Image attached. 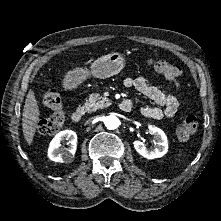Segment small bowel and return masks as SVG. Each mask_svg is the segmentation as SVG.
<instances>
[{
	"mask_svg": "<svg viewBox=\"0 0 221 221\" xmlns=\"http://www.w3.org/2000/svg\"><path fill=\"white\" fill-rule=\"evenodd\" d=\"M123 84L127 88H134L141 92L159 105V107L142 106L140 112L145 117L154 120L173 118L181 106V101L175 95L151 85L145 77H127L124 79ZM173 86L175 88H179V81H173ZM124 101H128L132 106V101L130 99H126Z\"/></svg>",
	"mask_w": 221,
	"mask_h": 221,
	"instance_id": "c3829d8e",
	"label": "small bowel"
}]
</instances>
